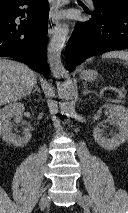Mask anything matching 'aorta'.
<instances>
[{
	"label": "aorta",
	"instance_id": "aorta-1",
	"mask_svg": "<svg viewBox=\"0 0 128 213\" xmlns=\"http://www.w3.org/2000/svg\"><path fill=\"white\" fill-rule=\"evenodd\" d=\"M69 33L68 25L60 27L52 36L47 48V61L54 78H67L68 72L61 62V51ZM59 106L62 115L70 116L75 112L74 87L70 80L57 85Z\"/></svg>",
	"mask_w": 128,
	"mask_h": 213
}]
</instances>
